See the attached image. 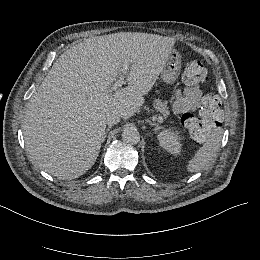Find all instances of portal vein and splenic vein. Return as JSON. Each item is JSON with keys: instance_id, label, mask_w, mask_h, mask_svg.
<instances>
[{"instance_id": "obj_1", "label": "portal vein and splenic vein", "mask_w": 260, "mask_h": 260, "mask_svg": "<svg viewBox=\"0 0 260 260\" xmlns=\"http://www.w3.org/2000/svg\"><path fill=\"white\" fill-rule=\"evenodd\" d=\"M129 64H130V61L125 60V62L123 63V66L121 68V74L119 75V79L112 85V87L109 89V92H114L119 87H121L123 84H125L124 79H125V76L128 74ZM155 120L159 121L160 124L164 123L162 116H156Z\"/></svg>"}]
</instances>
